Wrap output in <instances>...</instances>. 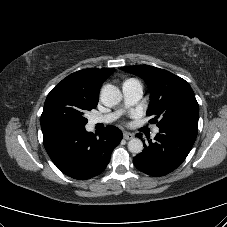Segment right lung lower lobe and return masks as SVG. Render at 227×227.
<instances>
[{
    "mask_svg": "<svg viewBox=\"0 0 227 227\" xmlns=\"http://www.w3.org/2000/svg\"><path fill=\"white\" fill-rule=\"evenodd\" d=\"M122 137L121 130L111 125L99 137L85 128H57L43 132L44 146L53 163L62 173L77 180L102 173Z\"/></svg>",
    "mask_w": 227,
    "mask_h": 227,
    "instance_id": "1",
    "label": "right lung lower lobe"
}]
</instances>
